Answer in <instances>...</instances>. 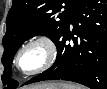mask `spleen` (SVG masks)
Masks as SVG:
<instances>
[{"label": "spleen", "instance_id": "spleen-1", "mask_svg": "<svg viewBox=\"0 0 107 89\" xmlns=\"http://www.w3.org/2000/svg\"><path fill=\"white\" fill-rule=\"evenodd\" d=\"M62 89H83L82 86L64 83Z\"/></svg>", "mask_w": 107, "mask_h": 89}]
</instances>
